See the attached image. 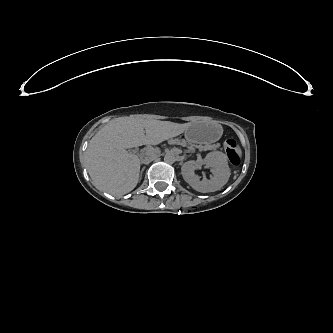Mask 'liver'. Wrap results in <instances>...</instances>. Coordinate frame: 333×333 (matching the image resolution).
Returning <instances> with one entry per match:
<instances>
[{
	"mask_svg": "<svg viewBox=\"0 0 333 333\" xmlns=\"http://www.w3.org/2000/svg\"><path fill=\"white\" fill-rule=\"evenodd\" d=\"M172 134H142L130 137H114L101 133L93 137L86 150L87 170L94 183L107 192H129L139 179L140 159L127 149L155 145Z\"/></svg>",
	"mask_w": 333,
	"mask_h": 333,
	"instance_id": "1",
	"label": "liver"
}]
</instances>
